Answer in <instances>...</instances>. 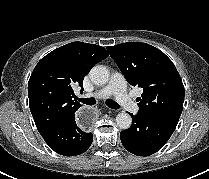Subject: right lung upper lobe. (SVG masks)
Returning <instances> with one entry per match:
<instances>
[{"instance_id": "obj_1", "label": "right lung upper lobe", "mask_w": 209, "mask_h": 179, "mask_svg": "<svg viewBox=\"0 0 209 179\" xmlns=\"http://www.w3.org/2000/svg\"><path fill=\"white\" fill-rule=\"evenodd\" d=\"M108 57L105 48L72 42L43 57L34 68L28 83L29 106L41 136L73 115L80 107L73 87H81L91 68Z\"/></svg>"}]
</instances>
